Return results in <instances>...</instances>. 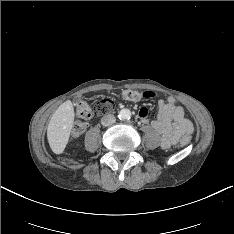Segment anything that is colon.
<instances>
[{"label": "colon", "mask_w": 234, "mask_h": 234, "mask_svg": "<svg viewBox=\"0 0 234 234\" xmlns=\"http://www.w3.org/2000/svg\"><path fill=\"white\" fill-rule=\"evenodd\" d=\"M122 98L124 97H135V98H148L151 95L146 92H140L135 90H125L121 94ZM115 105L110 99H102L97 101L94 104H90L86 101H80L77 104V116L81 119V121L77 122L73 128L72 136L74 138L82 135L87 129V123L84 120L90 119L94 116L105 115L113 111ZM191 138L188 135L183 136L181 139V145L186 146L190 143Z\"/></svg>", "instance_id": "5ec220e1"}]
</instances>
